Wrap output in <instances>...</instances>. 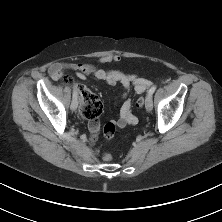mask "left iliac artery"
Instances as JSON below:
<instances>
[{
	"instance_id": "44dca946",
	"label": "left iliac artery",
	"mask_w": 222,
	"mask_h": 222,
	"mask_svg": "<svg viewBox=\"0 0 222 222\" xmlns=\"http://www.w3.org/2000/svg\"><path fill=\"white\" fill-rule=\"evenodd\" d=\"M156 88H157L156 85L152 86V87L149 89L148 93L152 95V94L155 92Z\"/></svg>"
}]
</instances>
